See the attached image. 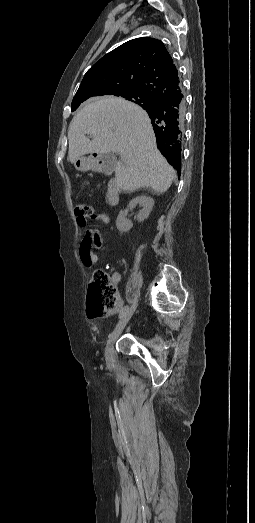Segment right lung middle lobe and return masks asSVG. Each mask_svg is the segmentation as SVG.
<instances>
[{
  "instance_id": "1",
  "label": "right lung middle lobe",
  "mask_w": 255,
  "mask_h": 523,
  "mask_svg": "<svg viewBox=\"0 0 255 523\" xmlns=\"http://www.w3.org/2000/svg\"><path fill=\"white\" fill-rule=\"evenodd\" d=\"M116 96H121L134 103L142 101V105L145 108H150L153 105L152 98H150L145 92H142V91H128V92L118 94ZM77 108H78V106L72 107L71 109H72V111H75Z\"/></svg>"
}]
</instances>
